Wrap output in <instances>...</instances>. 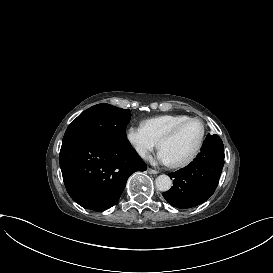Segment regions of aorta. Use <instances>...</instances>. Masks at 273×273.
Returning <instances> with one entry per match:
<instances>
[{
	"label": "aorta",
	"instance_id": "1",
	"mask_svg": "<svg viewBox=\"0 0 273 273\" xmlns=\"http://www.w3.org/2000/svg\"><path fill=\"white\" fill-rule=\"evenodd\" d=\"M155 185L157 190L166 192L168 191L172 186V180L168 175H159L155 180Z\"/></svg>",
	"mask_w": 273,
	"mask_h": 273
}]
</instances>
